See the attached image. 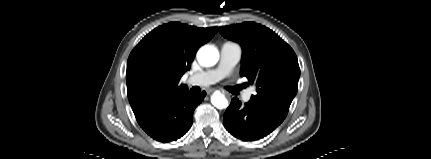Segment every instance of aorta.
<instances>
[{
	"mask_svg": "<svg viewBox=\"0 0 431 159\" xmlns=\"http://www.w3.org/2000/svg\"><path fill=\"white\" fill-rule=\"evenodd\" d=\"M197 60L202 66H213L219 60V52L215 47L205 45L198 50ZM211 103L218 109L228 107V100L218 91L212 95Z\"/></svg>",
	"mask_w": 431,
	"mask_h": 159,
	"instance_id": "1",
	"label": "aorta"
}]
</instances>
